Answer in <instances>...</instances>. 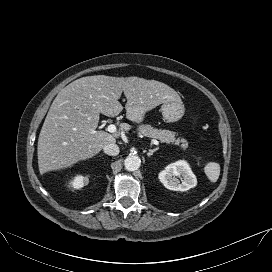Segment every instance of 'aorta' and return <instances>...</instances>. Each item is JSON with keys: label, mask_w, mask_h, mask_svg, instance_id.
Returning a JSON list of instances; mask_svg holds the SVG:
<instances>
[{"label": "aorta", "mask_w": 272, "mask_h": 272, "mask_svg": "<svg viewBox=\"0 0 272 272\" xmlns=\"http://www.w3.org/2000/svg\"><path fill=\"white\" fill-rule=\"evenodd\" d=\"M140 165L141 160L136 155H129L124 161V166L127 171H136Z\"/></svg>", "instance_id": "obj_1"}]
</instances>
